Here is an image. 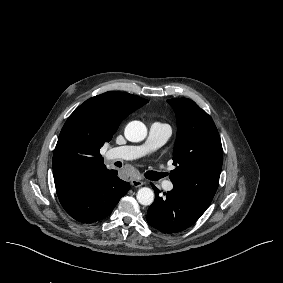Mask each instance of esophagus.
I'll use <instances>...</instances> for the list:
<instances>
[{
  "mask_svg": "<svg viewBox=\"0 0 283 283\" xmlns=\"http://www.w3.org/2000/svg\"><path fill=\"white\" fill-rule=\"evenodd\" d=\"M131 184H132L134 187H140V186L144 185V182L141 181V180L132 179V180H131Z\"/></svg>",
  "mask_w": 283,
  "mask_h": 283,
  "instance_id": "esophagus-1",
  "label": "esophagus"
}]
</instances>
